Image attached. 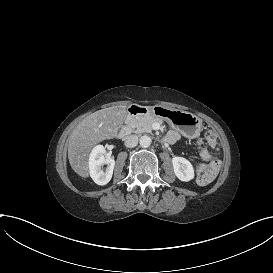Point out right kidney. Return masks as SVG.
I'll return each mask as SVG.
<instances>
[{
  "mask_svg": "<svg viewBox=\"0 0 273 273\" xmlns=\"http://www.w3.org/2000/svg\"><path fill=\"white\" fill-rule=\"evenodd\" d=\"M106 149L103 146L96 147L90 157V174L98 185H106L113 176L115 160L106 156ZM106 168L103 170V166Z\"/></svg>",
  "mask_w": 273,
  "mask_h": 273,
  "instance_id": "obj_1",
  "label": "right kidney"
}]
</instances>
